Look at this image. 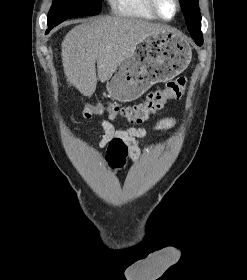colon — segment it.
Returning <instances> with one entry per match:
<instances>
[{
	"label": "colon",
	"mask_w": 247,
	"mask_h": 280,
	"mask_svg": "<svg viewBox=\"0 0 247 280\" xmlns=\"http://www.w3.org/2000/svg\"><path fill=\"white\" fill-rule=\"evenodd\" d=\"M186 89V78L179 77L169 81L163 89L151 91L145 100L132 106H121L117 103L87 104L83 115L91 118L107 112L110 117L122 116L132 124H141L149 116L160 110L167 101L181 98ZM127 147L118 139L111 141L107 149V161L112 168H121L126 163Z\"/></svg>",
	"instance_id": "5ec220e1"
}]
</instances>
